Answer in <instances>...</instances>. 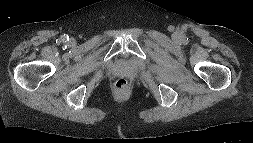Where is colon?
<instances>
[{
  "mask_svg": "<svg viewBox=\"0 0 253 143\" xmlns=\"http://www.w3.org/2000/svg\"><path fill=\"white\" fill-rule=\"evenodd\" d=\"M129 86V82L127 79L125 78H118L116 81H115V88L117 90H125L127 89Z\"/></svg>",
  "mask_w": 253,
  "mask_h": 143,
  "instance_id": "1",
  "label": "colon"
}]
</instances>
